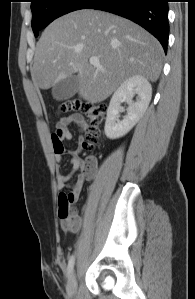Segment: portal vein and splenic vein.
Listing matches in <instances>:
<instances>
[{
  "instance_id": "18ae733b",
  "label": "portal vein and splenic vein",
  "mask_w": 195,
  "mask_h": 299,
  "mask_svg": "<svg viewBox=\"0 0 195 299\" xmlns=\"http://www.w3.org/2000/svg\"><path fill=\"white\" fill-rule=\"evenodd\" d=\"M89 62L91 65H93L94 67H97V68H101V65H100V62H99V58L98 57H91L89 59Z\"/></svg>"
}]
</instances>
